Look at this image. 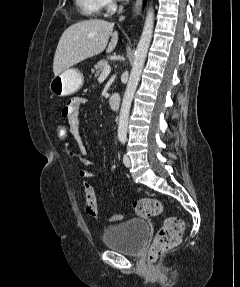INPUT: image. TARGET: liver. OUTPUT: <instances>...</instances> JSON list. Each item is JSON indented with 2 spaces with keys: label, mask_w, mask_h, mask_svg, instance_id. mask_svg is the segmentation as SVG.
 <instances>
[{
  "label": "liver",
  "mask_w": 240,
  "mask_h": 287,
  "mask_svg": "<svg viewBox=\"0 0 240 287\" xmlns=\"http://www.w3.org/2000/svg\"><path fill=\"white\" fill-rule=\"evenodd\" d=\"M113 27L114 23L100 19L85 20L68 27L55 51L54 75L103 52L110 37L106 52H112L118 42V32H113Z\"/></svg>",
  "instance_id": "6515ba94"
}]
</instances>
